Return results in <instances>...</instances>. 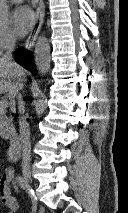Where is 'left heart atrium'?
Returning <instances> with one entry per match:
<instances>
[{
    "label": "left heart atrium",
    "mask_w": 128,
    "mask_h": 213,
    "mask_svg": "<svg viewBox=\"0 0 128 213\" xmlns=\"http://www.w3.org/2000/svg\"><path fill=\"white\" fill-rule=\"evenodd\" d=\"M14 32L19 36H25L34 24V14L27 6L16 7L11 16Z\"/></svg>",
    "instance_id": "1"
}]
</instances>
